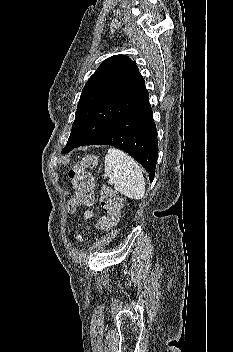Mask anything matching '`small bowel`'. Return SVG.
<instances>
[{
  "mask_svg": "<svg viewBox=\"0 0 233 352\" xmlns=\"http://www.w3.org/2000/svg\"><path fill=\"white\" fill-rule=\"evenodd\" d=\"M88 216H90V214H88ZM77 238H78V240H80V237H79V236H78Z\"/></svg>",
  "mask_w": 233,
  "mask_h": 352,
  "instance_id": "obj_1",
  "label": "small bowel"
}]
</instances>
